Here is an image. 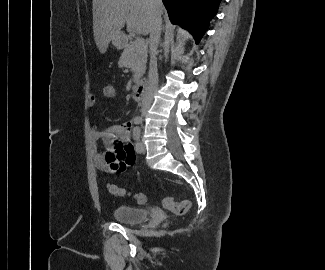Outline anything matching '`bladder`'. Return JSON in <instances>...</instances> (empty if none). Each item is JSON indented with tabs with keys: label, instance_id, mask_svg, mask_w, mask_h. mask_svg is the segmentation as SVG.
Listing matches in <instances>:
<instances>
[{
	"label": "bladder",
	"instance_id": "obj_1",
	"mask_svg": "<svg viewBox=\"0 0 325 270\" xmlns=\"http://www.w3.org/2000/svg\"><path fill=\"white\" fill-rule=\"evenodd\" d=\"M150 216V212L144 208L119 204L112 212L115 221L126 225H139L145 222Z\"/></svg>",
	"mask_w": 325,
	"mask_h": 270
}]
</instances>
